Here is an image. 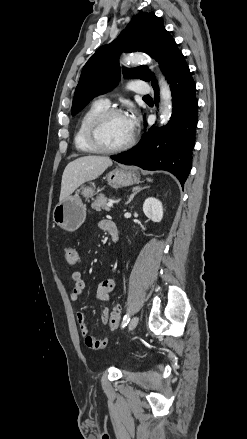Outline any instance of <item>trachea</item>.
Returning a JSON list of instances; mask_svg holds the SVG:
<instances>
[{
    "label": "trachea",
    "mask_w": 247,
    "mask_h": 439,
    "mask_svg": "<svg viewBox=\"0 0 247 439\" xmlns=\"http://www.w3.org/2000/svg\"><path fill=\"white\" fill-rule=\"evenodd\" d=\"M144 99H150V96L146 95L143 97Z\"/></svg>",
    "instance_id": "1"
}]
</instances>
